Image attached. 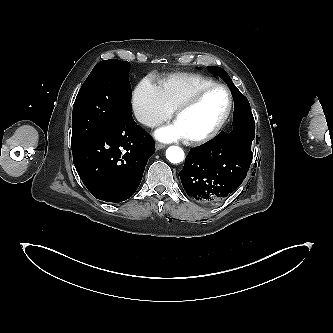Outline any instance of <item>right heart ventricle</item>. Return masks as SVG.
<instances>
[{"mask_svg":"<svg viewBox=\"0 0 333 333\" xmlns=\"http://www.w3.org/2000/svg\"><path fill=\"white\" fill-rule=\"evenodd\" d=\"M213 83V79L201 74L175 73L161 80L158 87L165 102L174 111L196 91Z\"/></svg>","mask_w":333,"mask_h":333,"instance_id":"1","label":"right heart ventricle"}]
</instances>
